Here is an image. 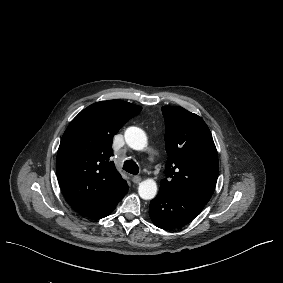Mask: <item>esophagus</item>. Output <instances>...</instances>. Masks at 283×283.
<instances>
[{"label": "esophagus", "instance_id": "esophagus-1", "mask_svg": "<svg viewBox=\"0 0 283 283\" xmlns=\"http://www.w3.org/2000/svg\"><path fill=\"white\" fill-rule=\"evenodd\" d=\"M141 180H142V178L140 176H133V178H132V182L136 183V184L141 182Z\"/></svg>", "mask_w": 283, "mask_h": 283}]
</instances>
